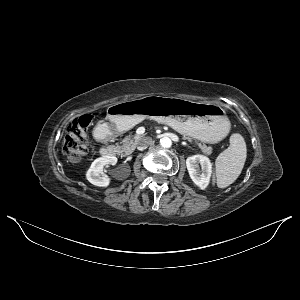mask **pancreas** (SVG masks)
Listing matches in <instances>:
<instances>
[{"instance_id":"pancreas-1","label":"pancreas","mask_w":300,"mask_h":300,"mask_svg":"<svg viewBox=\"0 0 300 300\" xmlns=\"http://www.w3.org/2000/svg\"><path fill=\"white\" fill-rule=\"evenodd\" d=\"M142 136L140 135H135V136H131V137H126L123 139V141L121 142L122 145L118 146L119 152L120 153H124L125 155L130 154L135 147L138 145L140 139ZM183 139H186L188 141H192L191 138L183 136ZM198 146L200 147V149L202 150V152L206 155H211L212 154V147L210 146H206L205 144L201 145L200 143H198Z\"/></svg>"}]
</instances>
